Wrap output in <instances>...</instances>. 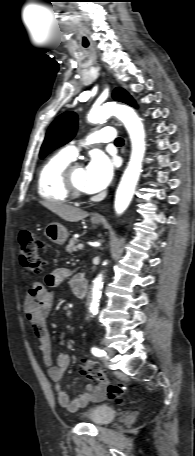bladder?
<instances>
[{
  "mask_svg": "<svg viewBox=\"0 0 195 456\" xmlns=\"http://www.w3.org/2000/svg\"><path fill=\"white\" fill-rule=\"evenodd\" d=\"M83 416L93 425L105 426L114 420L116 411L106 404H99L88 409Z\"/></svg>",
  "mask_w": 195,
  "mask_h": 456,
  "instance_id": "31cf9c89",
  "label": "bladder"
}]
</instances>
